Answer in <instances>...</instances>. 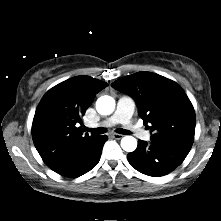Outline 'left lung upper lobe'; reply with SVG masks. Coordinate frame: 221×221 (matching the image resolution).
I'll list each match as a JSON object with an SVG mask.
<instances>
[{
    "label": "left lung upper lobe",
    "instance_id": "1",
    "mask_svg": "<svg viewBox=\"0 0 221 221\" xmlns=\"http://www.w3.org/2000/svg\"><path fill=\"white\" fill-rule=\"evenodd\" d=\"M111 86L133 97L152 141L190 149L194 141L195 112L184 90L174 81L151 72H138Z\"/></svg>",
    "mask_w": 221,
    "mask_h": 221
}]
</instances>
